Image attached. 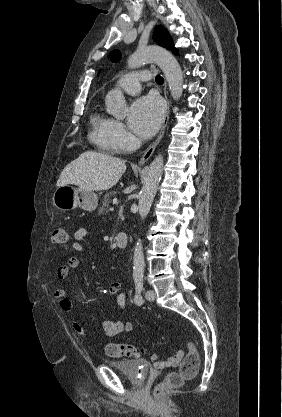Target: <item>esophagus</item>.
<instances>
[{
	"mask_svg": "<svg viewBox=\"0 0 282 417\" xmlns=\"http://www.w3.org/2000/svg\"><path fill=\"white\" fill-rule=\"evenodd\" d=\"M164 96L166 98L167 108H166V112H165V115H164L162 127L160 129V133H159L157 139L155 140V142L148 148V150L141 157V159L139 161L140 165L144 164L151 157V155L153 154L155 148L157 147L161 138L163 137V134L165 132V129H166V126H167V123H168V120H169V100H168V97H167L166 82H164Z\"/></svg>",
	"mask_w": 282,
	"mask_h": 417,
	"instance_id": "obj_1",
	"label": "esophagus"
}]
</instances>
